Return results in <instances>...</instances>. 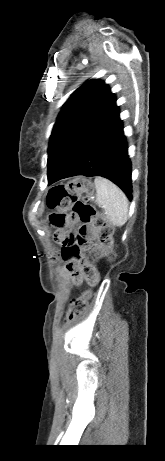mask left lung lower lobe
<instances>
[{"label": "left lung lower lobe", "mask_w": 165, "mask_h": 461, "mask_svg": "<svg viewBox=\"0 0 165 461\" xmlns=\"http://www.w3.org/2000/svg\"><path fill=\"white\" fill-rule=\"evenodd\" d=\"M77 175L105 177L132 198L131 161L116 100L80 138L48 185Z\"/></svg>", "instance_id": "1"}]
</instances>
